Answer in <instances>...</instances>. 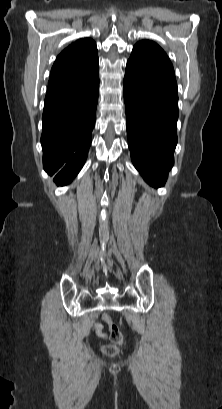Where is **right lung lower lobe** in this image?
Masks as SVG:
<instances>
[{
    "label": "right lung lower lobe",
    "instance_id": "obj_1",
    "mask_svg": "<svg viewBox=\"0 0 222 409\" xmlns=\"http://www.w3.org/2000/svg\"><path fill=\"white\" fill-rule=\"evenodd\" d=\"M79 91L45 97L42 116L43 166L56 174L57 185H66L78 174L87 158L98 101V71L86 76Z\"/></svg>",
    "mask_w": 222,
    "mask_h": 409
}]
</instances>
